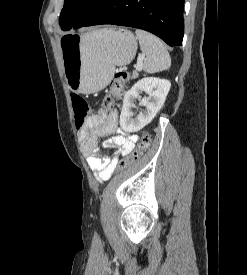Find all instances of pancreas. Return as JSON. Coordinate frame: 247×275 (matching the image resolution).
Instances as JSON below:
<instances>
[{
  "label": "pancreas",
  "instance_id": "cf45deb5",
  "mask_svg": "<svg viewBox=\"0 0 247 275\" xmlns=\"http://www.w3.org/2000/svg\"><path fill=\"white\" fill-rule=\"evenodd\" d=\"M138 72L137 71H133L132 73V79H136L138 77Z\"/></svg>",
  "mask_w": 247,
  "mask_h": 275
}]
</instances>
